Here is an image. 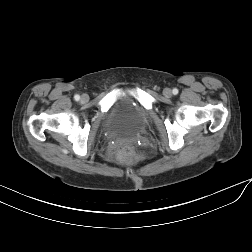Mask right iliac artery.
Masks as SVG:
<instances>
[{
    "label": "right iliac artery",
    "instance_id": "1",
    "mask_svg": "<svg viewBox=\"0 0 252 252\" xmlns=\"http://www.w3.org/2000/svg\"><path fill=\"white\" fill-rule=\"evenodd\" d=\"M74 99H75L76 101H78V100L80 99V96H79V95H75V96H74Z\"/></svg>",
    "mask_w": 252,
    "mask_h": 252
}]
</instances>
